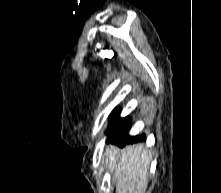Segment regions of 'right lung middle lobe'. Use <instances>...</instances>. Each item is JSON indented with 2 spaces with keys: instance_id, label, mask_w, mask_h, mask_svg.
Instances as JSON below:
<instances>
[{
  "instance_id": "1",
  "label": "right lung middle lobe",
  "mask_w": 221,
  "mask_h": 193,
  "mask_svg": "<svg viewBox=\"0 0 221 193\" xmlns=\"http://www.w3.org/2000/svg\"><path fill=\"white\" fill-rule=\"evenodd\" d=\"M130 127V120L128 118L119 119V109H114V111L111 113L110 127L107 133V143L127 135Z\"/></svg>"
}]
</instances>
